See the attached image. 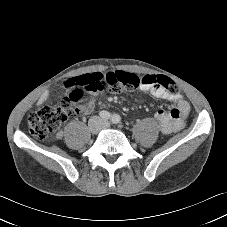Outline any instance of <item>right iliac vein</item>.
Returning <instances> with one entry per match:
<instances>
[{
    "label": "right iliac vein",
    "mask_w": 227,
    "mask_h": 227,
    "mask_svg": "<svg viewBox=\"0 0 227 227\" xmlns=\"http://www.w3.org/2000/svg\"><path fill=\"white\" fill-rule=\"evenodd\" d=\"M89 130L91 131V133L95 134L99 131V121L97 119H93L90 123H89Z\"/></svg>",
    "instance_id": "1"
}]
</instances>
